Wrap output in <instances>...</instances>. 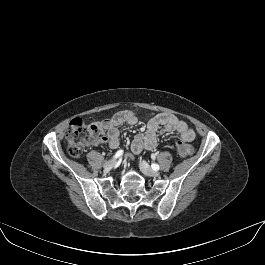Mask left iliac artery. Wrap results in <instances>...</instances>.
<instances>
[{
  "mask_svg": "<svg viewBox=\"0 0 265 265\" xmlns=\"http://www.w3.org/2000/svg\"><path fill=\"white\" fill-rule=\"evenodd\" d=\"M151 167H152V169L155 170V171L159 170V168H160L159 165L156 164V163H153V164L151 165Z\"/></svg>",
  "mask_w": 265,
  "mask_h": 265,
  "instance_id": "obj_1",
  "label": "left iliac artery"
}]
</instances>
